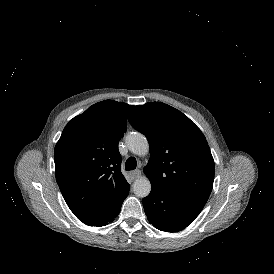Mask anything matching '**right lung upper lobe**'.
Wrapping results in <instances>:
<instances>
[{"label": "right lung upper lobe", "mask_w": 274, "mask_h": 274, "mask_svg": "<svg viewBox=\"0 0 274 274\" xmlns=\"http://www.w3.org/2000/svg\"><path fill=\"white\" fill-rule=\"evenodd\" d=\"M132 105L105 100L74 117L54 150L60 191L75 216L95 226L105 222L130 186L121 173L119 140Z\"/></svg>", "instance_id": "right-lung-upper-lobe-1"}]
</instances>
